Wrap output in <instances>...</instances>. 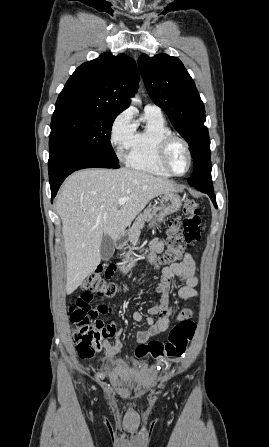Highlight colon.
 Returning <instances> with one entry per match:
<instances>
[{
    "label": "colon",
    "instance_id": "1",
    "mask_svg": "<svg viewBox=\"0 0 269 447\" xmlns=\"http://www.w3.org/2000/svg\"><path fill=\"white\" fill-rule=\"evenodd\" d=\"M184 217H174L168 224L164 252L155 259V266H169L180 261L186 244H196L201 239V208L192 200L183 203ZM107 267H116L108 263ZM86 295L80 297L76 305L69 309L70 318L75 325L73 338L78 354L83 358H91L101 350L103 339H113L117 328L115 323L105 322L101 316L108 313L106 305L96 303L94 296H112L121 291L119 284L107 279L104 273L90 274L83 282ZM95 302V303H94ZM94 319V320H90ZM196 326L191 320H181L170 330L166 342L141 344L135 349L137 358L152 356L156 359L164 357H180L193 338Z\"/></svg>",
    "mask_w": 269,
    "mask_h": 447
}]
</instances>
